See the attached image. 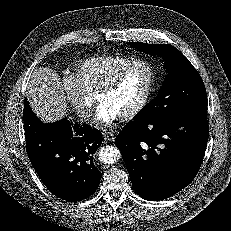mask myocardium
Instances as JSON below:
<instances>
[{
  "mask_svg": "<svg viewBox=\"0 0 231 231\" xmlns=\"http://www.w3.org/2000/svg\"><path fill=\"white\" fill-rule=\"evenodd\" d=\"M144 65L148 68L150 73V83L149 86L142 97V99L126 114L121 116L122 120H131L136 117L142 110L147 106L151 97L153 96L156 87L158 76L153 64L145 59H136L127 64L125 67L121 68L118 72L112 75L98 90L97 99L100 101L101 97L107 95L114 91V89L119 85L123 77L134 67Z\"/></svg>",
  "mask_w": 231,
  "mask_h": 231,
  "instance_id": "1",
  "label": "myocardium"
}]
</instances>
